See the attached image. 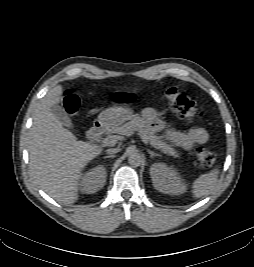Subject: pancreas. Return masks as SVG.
Returning <instances> with one entry per match:
<instances>
[{
	"label": "pancreas",
	"instance_id": "1",
	"mask_svg": "<svg viewBox=\"0 0 254 267\" xmlns=\"http://www.w3.org/2000/svg\"><path fill=\"white\" fill-rule=\"evenodd\" d=\"M138 131L142 138L146 139L152 147L161 150L164 154L173 156L174 158L179 157V153L172 147V145L165 142L162 136L156 135V133L146 124V121L138 115H134L133 119L122 126H116L108 129V137L112 134L127 135Z\"/></svg>",
	"mask_w": 254,
	"mask_h": 267
}]
</instances>
